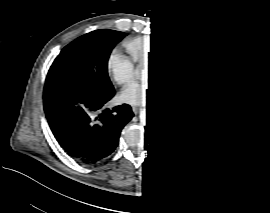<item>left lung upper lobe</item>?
<instances>
[{
    "label": "left lung upper lobe",
    "instance_id": "1",
    "mask_svg": "<svg viewBox=\"0 0 270 213\" xmlns=\"http://www.w3.org/2000/svg\"><path fill=\"white\" fill-rule=\"evenodd\" d=\"M200 58L199 86L191 88L178 100L200 102L220 98L227 92V72L216 54L203 42H194Z\"/></svg>",
    "mask_w": 270,
    "mask_h": 213
}]
</instances>
